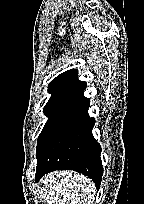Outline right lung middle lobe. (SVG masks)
<instances>
[{
	"instance_id": "dd1d6c3e",
	"label": "right lung middle lobe",
	"mask_w": 144,
	"mask_h": 204,
	"mask_svg": "<svg viewBox=\"0 0 144 204\" xmlns=\"http://www.w3.org/2000/svg\"><path fill=\"white\" fill-rule=\"evenodd\" d=\"M74 101L75 99L73 98L63 97L49 100L47 102L44 108V114L48 116V120L39 135L36 156L41 153L46 143L54 133L60 118L65 114Z\"/></svg>"
}]
</instances>
